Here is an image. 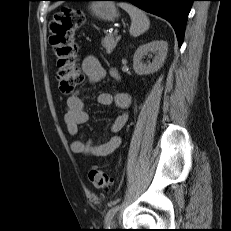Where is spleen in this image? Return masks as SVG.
Returning a JSON list of instances; mask_svg holds the SVG:
<instances>
[{
  "label": "spleen",
  "instance_id": "spleen-1",
  "mask_svg": "<svg viewBox=\"0 0 231 231\" xmlns=\"http://www.w3.org/2000/svg\"><path fill=\"white\" fill-rule=\"evenodd\" d=\"M119 6L123 8L131 18L130 35L138 37L149 29L150 21L141 9L125 2L119 3Z\"/></svg>",
  "mask_w": 231,
  "mask_h": 231
}]
</instances>
